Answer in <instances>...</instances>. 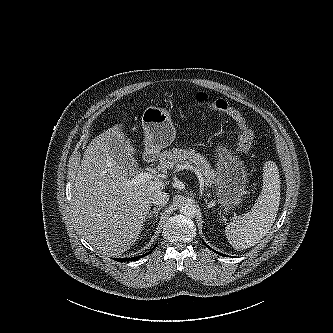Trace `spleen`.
<instances>
[{"instance_id":"3e777b00","label":"spleen","mask_w":333,"mask_h":333,"mask_svg":"<svg viewBox=\"0 0 333 333\" xmlns=\"http://www.w3.org/2000/svg\"><path fill=\"white\" fill-rule=\"evenodd\" d=\"M280 175L275 162L263 167V186L252 210L238 216L225 228L229 243L235 250L255 246L270 231L280 205Z\"/></svg>"}]
</instances>
